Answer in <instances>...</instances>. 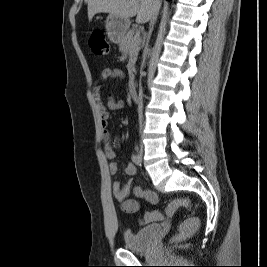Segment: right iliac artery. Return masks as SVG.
Listing matches in <instances>:
<instances>
[{"mask_svg":"<svg viewBox=\"0 0 267 267\" xmlns=\"http://www.w3.org/2000/svg\"><path fill=\"white\" fill-rule=\"evenodd\" d=\"M131 159H132V161H133L136 165H138V166L141 165V159L139 158L138 155L133 154L132 157H131Z\"/></svg>","mask_w":267,"mask_h":267,"instance_id":"obj_1","label":"right iliac artery"}]
</instances>
